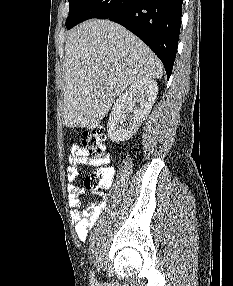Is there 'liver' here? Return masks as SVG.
I'll list each match as a JSON object with an SVG mask.
<instances>
[{
  "label": "liver",
  "instance_id": "obj_1",
  "mask_svg": "<svg viewBox=\"0 0 233 286\" xmlns=\"http://www.w3.org/2000/svg\"><path fill=\"white\" fill-rule=\"evenodd\" d=\"M63 74L65 126L93 129L128 86L142 78H161L163 68L130 31L109 20L91 19L69 32Z\"/></svg>",
  "mask_w": 233,
  "mask_h": 286
}]
</instances>
